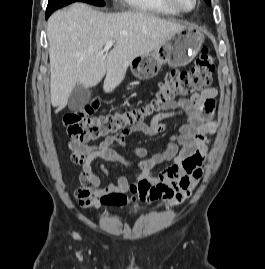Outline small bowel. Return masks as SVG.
<instances>
[{
	"mask_svg": "<svg viewBox=\"0 0 265 269\" xmlns=\"http://www.w3.org/2000/svg\"><path fill=\"white\" fill-rule=\"evenodd\" d=\"M217 89L207 88L190 98H179L166 103L163 111L149 122L140 123L123 131L116 137L101 140L96 144L82 143L76 140L68 142L71 160L82 166L79 176L81 186L74 191L78 204L87 209H101L109 206H124L128 203L150 201L148 188L162 186L165 196L171 202H180L189 196L203 174L204 161L208 152L207 135L214 130V102ZM184 116L186 122L171 135L162 151L149 154L145 148L128 147L126 137L133 133H142L154 137L164 129V121ZM128 148L132 157L119 151ZM96 158L103 159L101 166L104 174L114 163L138 169L134 182L124 176L104 183L93 167ZM166 163L159 173L154 169ZM132 194L131 197L127 193Z\"/></svg>",
	"mask_w": 265,
	"mask_h": 269,
	"instance_id": "1",
	"label": "small bowel"
}]
</instances>
